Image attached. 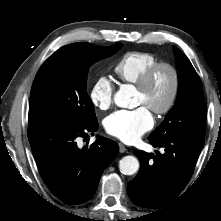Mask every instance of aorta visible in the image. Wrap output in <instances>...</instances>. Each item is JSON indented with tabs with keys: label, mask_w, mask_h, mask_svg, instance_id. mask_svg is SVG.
<instances>
[{
	"label": "aorta",
	"mask_w": 221,
	"mask_h": 221,
	"mask_svg": "<svg viewBox=\"0 0 221 221\" xmlns=\"http://www.w3.org/2000/svg\"><path fill=\"white\" fill-rule=\"evenodd\" d=\"M132 94L128 86H122L114 95L115 104L121 108L129 107ZM119 169L125 175H133L139 169V161L135 156H125L119 162Z\"/></svg>",
	"instance_id": "1"
}]
</instances>
